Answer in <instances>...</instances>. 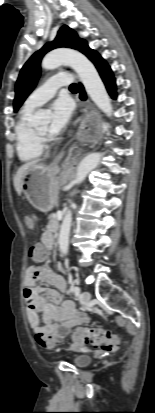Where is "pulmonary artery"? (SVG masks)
<instances>
[{"mask_svg":"<svg viewBox=\"0 0 155 413\" xmlns=\"http://www.w3.org/2000/svg\"><path fill=\"white\" fill-rule=\"evenodd\" d=\"M72 82V76L68 73H60L49 77L37 88L27 99L25 106L37 108L50 100L61 86L68 85Z\"/></svg>","mask_w":155,"mask_h":413,"instance_id":"pulmonary-artery-1","label":"pulmonary artery"}]
</instances>
